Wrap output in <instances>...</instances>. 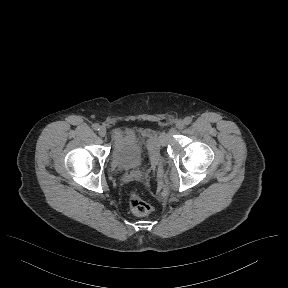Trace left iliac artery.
Listing matches in <instances>:
<instances>
[{"label": "left iliac artery", "mask_w": 288, "mask_h": 288, "mask_svg": "<svg viewBox=\"0 0 288 288\" xmlns=\"http://www.w3.org/2000/svg\"><path fill=\"white\" fill-rule=\"evenodd\" d=\"M191 122H192V119H191V117H185L184 118V123L186 124V125H189V124H191Z\"/></svg>", "instance_id": "44dca946"}]
</instances>
